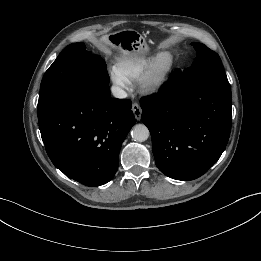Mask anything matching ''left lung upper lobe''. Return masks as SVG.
<instances>
[{"instance_id": "obj_1", "label": "left lung upper lobe", "mask_w": 261, "mask_h": 261, "mask_svg": "<svg viewBox=\"0 0 261 261\" xmlns=\"http://www.w3.org/2000/svg\"><path fill=\"white\" fill-rule=\"evenodd\" d=\"M192 45L197 51V56L194 62L192 63L191 67L186 68L182 72L183 88L196 75L201 74L203 72L216 71V72L225 73L221 63V59L217 53H215L214 51L210 50L208 47L200 43H192Z\"/></svg>"}]
</instances>
